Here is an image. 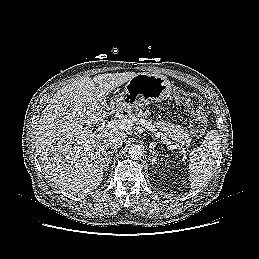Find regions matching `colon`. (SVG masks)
Masks as SVG:
<instances>
[{"label":"colon","mask_w":259,"mask_h":259,"mask_svg":"<svg viewBox=\"0 0 259 259\" xmlns=\"http://www.w3.org/2000/svg\"><path fill=\"white\" fill-rule=\"evenodd\" d=\"M175 102L189 112V125L192 133L195 136H201L207 128V115L203 99L195 93L178 90L175 94Z\"/></svg>","instance_id":"5ec220e1"}]
</instances>
